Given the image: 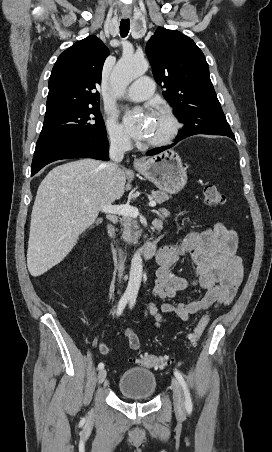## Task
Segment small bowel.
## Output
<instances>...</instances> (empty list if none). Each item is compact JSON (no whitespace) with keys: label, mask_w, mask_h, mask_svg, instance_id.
Instances as JSON below:
<instances>
[{"label":"small bowel","mask_w":272,"mask_h":452,"mask_svg":"<svg viewBox=\"0 0 272 452\" xmlns=\"http://www.w3.org/2000/svg\"><path fill=\"white\" fill-rule=\"evenodd\" d=\"M169 214L163 208L159 212V219L164 221ZM237 249V232L222 223L202 231H190L180 243L160 248L157 254L159 269L151 290L154 300H168L193 287L204 289L207 294L194 301L178 304L165 302L160 308L151 302L145 311V318L152 317L154 325L159 327L165 316L186 321L192 314L211 306L229 304L244 277L243 260L237 254ZM183 262L193 267L192 278L181 276L174 270ZM125 336L130 347L138 350L140 341L137 334L127 328ZM100 348L103 354L111 353L108 345L102 344Z\"/></svg>","instance_id":"1"}]
</instances>
